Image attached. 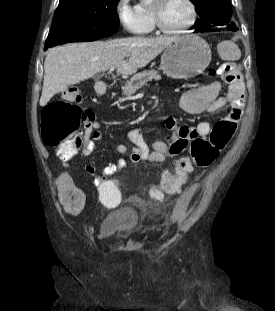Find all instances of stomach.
Returning <instances> with one entry per match:
<instances>
[{"label": "stomach", "instance_id": "obj_1", "mask_svg": "<svg viewBox=\"0 0 275 311\" xmlns=\"http://www.w3.org/2000/svg\"><path fill=\"white\" fill-rule=\"evenodd\" d=\"M208 43L196 34L177 37L161 55V69L175 79H188L202 73L211 61Z\"/></svg>", "mask_w": 275, "mask_h": 311}]
</instances>
